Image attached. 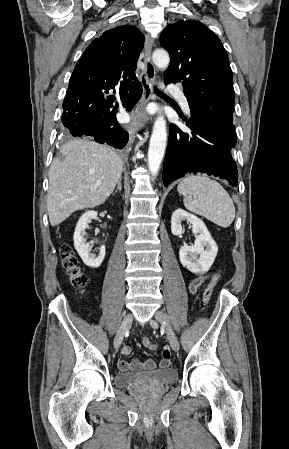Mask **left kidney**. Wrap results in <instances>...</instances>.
<instances>
[{
	"mask_svg": "<svg viewBox=\"0 0 289 449\" xmlns=\"http://www.w3.org/2000/svg\"><path fill=\"white\" fill-rule=\"evenodd\" d=\"M184 220L192 225L193 233L196 234V240L194 245L181 246L179 250L180 262L192 273H206L214 263L218 252L217 244L211 237L204 222L197 216L182 209H177L172 214L171 231L173 235L179 236L183 233L181 223Z\"/></svg>",
	"mask_w": 289,
	"mask_h": 449,
	"instance_id": "5707ae66",
	"label": "left kidney"
}]
</instances>
